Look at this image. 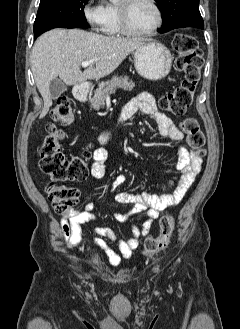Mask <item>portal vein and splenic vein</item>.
<instances>
[{
    "label": "portal vein and splenic vein",
    "instance_id": "obj_1",
    "mask_svg": "<svg viewBox=\"0 0 240 329\" xmlns=\"http://www.w3.org/2000/svg\"><path fill=\"white\" fill-rule=\"evenodd\" d=\"M93 64V61H84L81 63L82 67L86 68Z\"/></svg>",
    "mask_w": 240,
    "mask_h": 329
}]
</instances>
